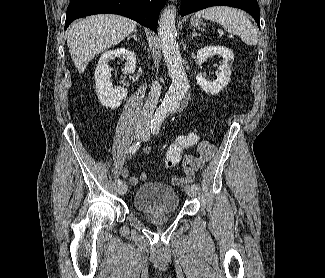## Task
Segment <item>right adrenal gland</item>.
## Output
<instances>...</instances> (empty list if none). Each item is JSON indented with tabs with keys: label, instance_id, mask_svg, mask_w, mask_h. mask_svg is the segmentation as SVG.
<instances>
[{
	"label": "right adrenal gland",
	"instance_id": "obj_1",
	"mask_svg": "<svg viewBox=\"0 0 325 278\" xmlns=\"http://www.w3.org/2000/svg\"><path fill=\"white\" fill-rule=\"evenodd\" d=\"M136 32H137V30L135 29L134 32H133V35H132L131 37H129L128 40H129L130 38H133L134 40L137 41L138 39H137Z\"/></svg>",
	"mask_w": 325,
	"mask_h": 278
}]
</instances>
